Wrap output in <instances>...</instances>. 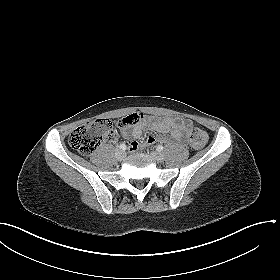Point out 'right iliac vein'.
I'll return each mask as SVG.
<instances>
[{"instance_id":"right-iliac-vein-1","label":"right iliac vein","mask_w":280,"mask_h":280,"mask_svg":"<svg viewBox=\"0 0 280 280\" xmlns=\"http://www.w3.org/2000/svg\"><path fill=\"white\" fill-rule=\"evenodd\" d=\"M126 153L123 150H117L115 156L118 161H121L125 158Z\"/></svg>"}]
</instances>
